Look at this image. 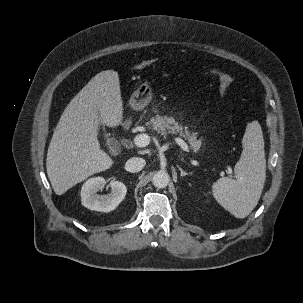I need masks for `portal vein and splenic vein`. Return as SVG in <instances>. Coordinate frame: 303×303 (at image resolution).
<instances>
[{
	"label": "portal vein and splenic vein",
	"instance_id": "obj_1",
	"mask_svg": "<svg viewBox=\"0 0 303 303\" xmlns=\"http://www.w3.org/2000/svg\"><path fill=\"white\" fill-rule=\"evenodd\" d=\"M150 136L147 134H139L134 137L133 142L137 147H145L150 143ZM174 141L186 152H189L188 145L181 138H175ZM228 173L232 174V169L228 167Z\"/></svg>",
	"mask_w": 303,
	"mask_h": 303
}]
</instances>
